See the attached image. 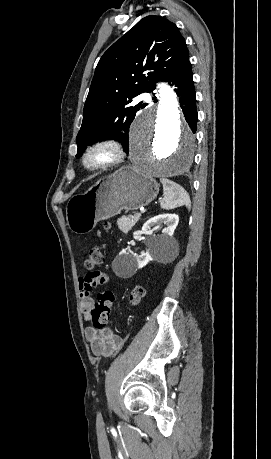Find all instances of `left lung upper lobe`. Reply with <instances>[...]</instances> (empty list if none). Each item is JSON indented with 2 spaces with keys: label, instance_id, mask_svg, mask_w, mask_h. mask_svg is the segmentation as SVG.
Segmentation results:
<instances>
[{
  "label": "left lung upper lobe",
  "instance_id": "5c2ea615",
  "mask_svg": "<svg viewBox=\"0 0 271 459\" xmlns=\"http://www.w3.org/2000/svg\"><path fill=\"white\" fill-rule=\"evenodd\" d=\"M189 59L176 25L155 15L141 19L101 57L91 83L81 129L76 137L80 157L87 145L109 138L128 152L129 127L142 102L132 98L155 89Z\"/></svg>",
  "mask_w": 271,
  "mask_h": 459
}]
</instances>
